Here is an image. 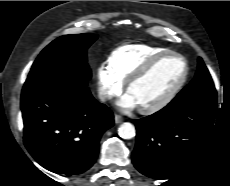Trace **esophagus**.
Returning <instances> with one entry per match:
<instances>
[{
	"label": "esophagus",
	"instance_id": "esophagus-1",
	"mask_svg": "<svg viewBox=\"0 0 230 186\" xmlns=\"http://www.w3.org/2000/svg\"><path fill=\"white\" fill-rule=\"evenodd\" d=\"M114 121H115L116 124L122 123L123 117L120 116V115H118V114H116V115L114 116Z\"/></svg>",
	"mask_w": 230,
	"mask_h": 186
}]
</instances>
